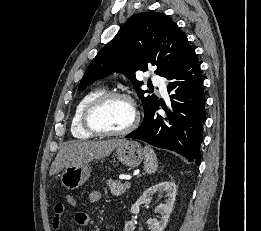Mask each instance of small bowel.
<instances>
[{
  "label": "small bowel",
  "mask_w": 261,
  "mask_h": 231,
  "mask_svg": "<svg viewBox=\"0 0 261 231\" xmlns=\"http://www.w3.org/2000/svg\"><path fill=\"white\" fill-rule=\"evenodd\" d=\"M91 201L100 200V194L98 192H94L90 196ZM64 213V206L58 204L54 208V216H53V227L56 231H58L61 227L62 216ZM75 220L77 225L79 226H87L90 223V217L85 211H78L75 215Z\"/></svg>",
  "instance_id": "c3829d8e"
}]
</instances>
